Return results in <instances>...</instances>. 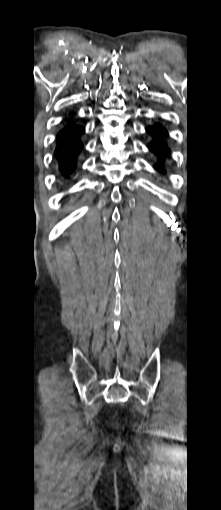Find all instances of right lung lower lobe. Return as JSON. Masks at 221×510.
I'll return each instance as SVG.
<instances>
[{"label": "right lung lower lobe", "instance_id": "98d812e1", "mask_svg": "<svg viewBox=\"0 0 221 510\" xmlns=\"http://www.w3.org/2000/svg\"><path fill=\"white\" fill-rule=\"evenodd\" d=\"M83 133V127L73 125L60 131L57 135L55 156L60 163V171L63 176L69 175L76 166V156L83 147L79 137Z\"/></svg>", "mask_w": 221, "mask_h": 510}]
</instances>
